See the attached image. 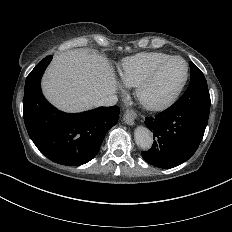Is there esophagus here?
Returning <instances> with one entry per match:
<instances>
[{
	"instance_id": "esophagus-1",
	"label": "esophagus",
	"mask_w": 232,
	"mask_h": 232,
	"mask_svg": "<svg viewBox=\"0 0 232 232\" xmlns=\"http://www.w3.org/2000/svg\"><path fill=\"white\" fill-rule=\"evenodd\" d=\"M137 117V114L133 110H127L123 116V120L128 125H134V120Z\"/></svg>"
}]
</instances>
